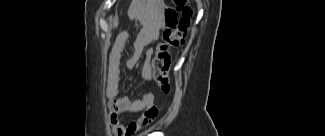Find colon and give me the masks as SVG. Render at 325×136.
<instances>
[{"instance_id":"5ec220e1","label":"colon","mask_w":325,"mask_h":136,"mask_svg":"<svg viewBox=\"0 0 325 136\" xmlns=\"http://www.w3.org/2000/svg\"><path fill=\"white\" fill-rule=\"evenodd\" d=\"M175 8L164 12L165 30L162 41L155 48L152 59V74L163 93L170 91L169 68L171 63L170 48L185 45L190 27L192 10L186 0H173Z\"/></svg>"}]
</instances>
